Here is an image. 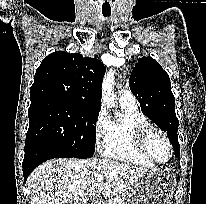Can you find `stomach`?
Listing matches in <instances>:
<instances>
[{
  "instance_id": "obj_1",
  "label": "stomach",
  "mask_w": 206,
  "mask_h": 204,
  "mask_svg": "<svg viewBox=\"0 0 206 204\" xmlns=\"http://www.w3.org/2000/svg\"><path fill=\"white\" fill-rule=\"evenodd\" d=\"M176 179L170 170H150L124 195V204H171Z\"/></svg>"
}]
</instances>
